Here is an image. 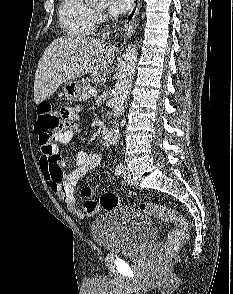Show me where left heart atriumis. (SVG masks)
<instances>
[{"mask_svg": "<svg viewBox=\"0 0 233 294\" xmlns=\"http://www.w3.org/2000/svg\"><path fill=\"white\" fill-rule=\"evenodd\" d=\"M133 0H109V10L111 13L120 14L126 12Z\"/></svg>", "mask_w": 233, "mask_h": 294, "instance_id": "left-heart-atrium-1", "label": "left heart atrium"}]
</instances>
